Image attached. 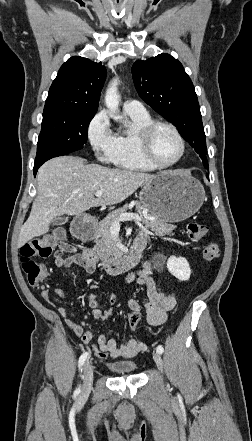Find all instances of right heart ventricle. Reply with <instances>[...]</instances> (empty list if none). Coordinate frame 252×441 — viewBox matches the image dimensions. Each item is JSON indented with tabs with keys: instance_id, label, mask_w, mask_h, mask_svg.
<instances>
[{
	"instance_id": "e07e8e85",
	"label": "right heart ventricle",
	"mask_w": 252,
	"mask_h": 441,
	"mask_svg": "<svg viewBox=\"0 0 252 441\" xmlns=\"http://www.w3.org/2000/svg\"><path fill=\"white\" fill-rule=\"evenodd\" d=\"M132 121V127L130 130L123 131L116 134L117 136V150L114 158V163L117 167L138 172H151L154 171L152 165H150L142 156L139 144L138 133L139 131L149 123L153 121L151 116L146 114H129Z\"/></svg>"
}]
</instances>
